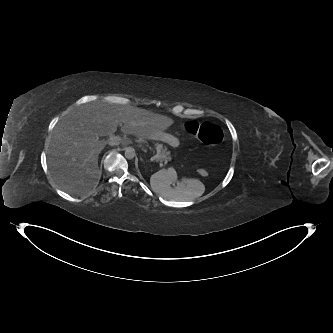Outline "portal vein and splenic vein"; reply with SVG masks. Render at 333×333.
Wrapping results in <instances>:
<instances>
[{"instance_id":"1","label":"portal vein and splenic vein","mask_w":333,"mask_h":333,"mask_svg":"<svg viewBox=\"0 0 333 333\" xmlns=\"http://www.w3.org/2000/svg\"><path fill=\"white\" fill-rule=\"evenodd\" d=\"M109 140L110 141H119V140H121V138L119 137V136H110V138H109ZM151 160L152 161H154L155 160V156H153L152 158H151ZM164 164H166V162L165 163H163V162H160L159 163V165L162 167V166H164Z\"/></svg>"}]
</instances>
